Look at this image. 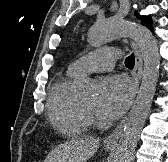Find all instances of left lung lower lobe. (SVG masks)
Wrapping results in <instances>:
<instances>
[{"label":"left lung lower lobe","instance_id":"obj_1","mask_svg":"<svg viewBox=\"0 0 168 162\" xmlns=\"http://www.w3.org/2000/svg\"><path fill=\"white\" fill-rule=\"evenodd\" d=\"M150 29L152 30V25L150 26Z\"/></svg>","mask_w":168,"mask_h":162}]
</instances>
